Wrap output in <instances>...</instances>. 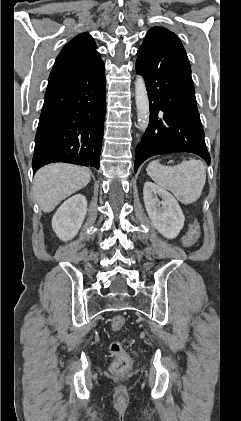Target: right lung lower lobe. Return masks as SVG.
I'll return each instance as SVG.
<instances>
[{
  "instance_id": "1",
  "label": "right lung lower lobe",
  "mask_w": 241,
  "mask_h": 421,
  "mask_svg": "<svg viewBox=\"0 0 241 421\" xmlns=\"http://www.w3.org/2000/svg\"><path fill=\"white\" fill-rule=\"evenodd\" d=\"M101 58L49 78L35 136L33 172L53 162L99 168L106 111Z\"/></svg>"
}]
</instances>
